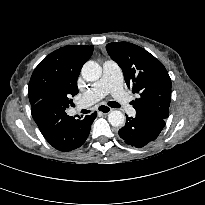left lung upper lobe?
<instances>
[{"instance_id": "obj_1", "label": "left lung upper lobe", "mask_w": 205, "mask_h": 205, "mask_svg": "<svg viewBox=\"0 0 205 205\" xmlns=\"http://www.w3.org/2000/svg\"><path fill=\"white\" fill-rule=\"evenodd\" d=\"M106 49L122 69L126 84L140 97L132 101L138 113L166 119L171 101V79L163 64L145 49L128 42L109 43Z\"/></svg>"}]
</instances>
